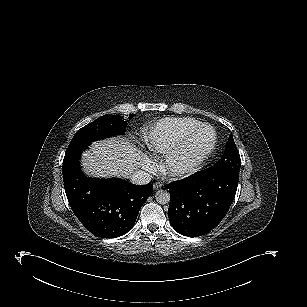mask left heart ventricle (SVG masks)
Masks as SVG:
<instances>
[{
  "label": "left heart ventricle",
  "mask_w": 307,
  "mask_h": 307,
  "mask_svg": "<svg viewBox=\"0 0 307 307\" xmlns=\"http://www.w3.org/2000/svg\"><path fill=\"white\" fill-rule=\"evenodd\" d=\"M196 143L183 147L178 154L173 158V166L189 165L196 158L198 150L206 145L210 140L211 133L209 130L202 131L201 135L198 136Z\"/></svg>",
  "instance_id": "1"
}]
</instances>
